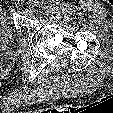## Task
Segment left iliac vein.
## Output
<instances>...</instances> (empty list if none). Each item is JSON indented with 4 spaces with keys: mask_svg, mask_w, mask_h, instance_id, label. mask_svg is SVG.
<instances>
[{
    "mask_svg": "<svg viewBox=\"0 0 113 113\" xmlns=\"http://www.w3.org/2000/svg\"><path fill=\"white\" fill-rule=\"evenodd\" d=\"M29 9H30L31 11H34V10L36 9V4H35V2L30 1V3H29Z\"/></svg>",
    "mask_w": 113,
    "mask_h": 113,
    "instance_id": "left-iliac-vein-1",
    "label": "left iliac vein"
}]
</instances>
